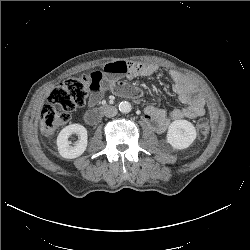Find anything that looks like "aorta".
Listing matches in <instances>:
<instances>
[{
    "mask_svg": "<svg viewBox=\"0 0 250 250\" xmlns=\"http://www.w3.org/2000/svg\"><path fill=\"white\" fill-rule=\"evenodd\" d=\"M119 111L122 113H129L132 110V106L129 102L123 101L119 104Z\"/></svg>",
    "mask_w": 250,
    "mask_h": 250,
    "instance_id": "obj_1",
    "label": "aorta"
}]
</instances>
